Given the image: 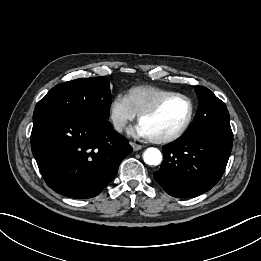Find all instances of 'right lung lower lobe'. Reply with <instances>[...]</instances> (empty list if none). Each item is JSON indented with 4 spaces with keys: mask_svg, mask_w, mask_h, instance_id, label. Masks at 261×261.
<instances>
[{
    "mask_svg": "<svg viewBox=\"0 0 261 261\" xmlns=\"http://www.w3.org/2000/svg\"><path fill=\"white\" fill-rule=\"evenodd\" d=\"M31 149L46 184L76 199L95 197L132 152L128 140L93 119L35 110Z\"/></svg>",
    "mask_w": 261,
    "mask_h": 261,
    "instance_id": "98d812e1",
    "label": "right lung lower lobe"
}]
</instances>
